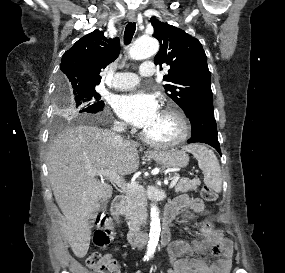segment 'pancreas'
<instances>
[{"mask_svg":"<svg viewBox=\"0 0 285 273\" xmlns=\"http://www.w3.org/2000/svg\"><path fill=\"white\" fill-rule=\"evenodd\" d=\"M201 184L199 179L189 180L180 179L175 186V192L185 193L190 190H196ZM128 215L134 219H141L142 212L145 211L147 204L146 195L143 188L127 190Z\"/></svg>","mask_w":285,"mask_h":273,"instance_id":"pancreas-1","label":"pancreas"}]
</instances>
